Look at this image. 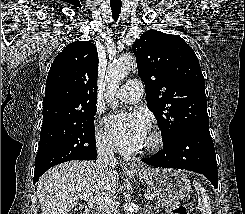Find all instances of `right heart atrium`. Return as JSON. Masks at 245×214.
Returning a JSON list of instances; mask_svg holds the SVG:
<instances>
[{"mask_svg": "<svg viewBox=\"0 0 245 214\" xmlns=\"http://www.w3.org/2000/svg\"><path fill=\"white\" fill-rule=\"evenodd\" d=\"M96 145L101 154H104V155L112 154V148L103 131L96 132Z\"/></svg>", "mask_w": 245, "mask_h": 214, "instance_id": "right-heart-atrium-1", "label": "right heart atrium"}]
</instances>
